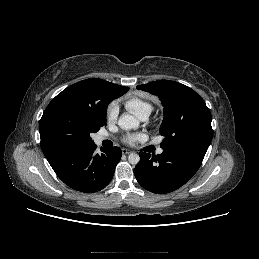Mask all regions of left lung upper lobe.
<instances>
[{"label":"left lung upper lobe","mask_w":259,"mask_h":259,"mask_svg":"<svg viewBox=\"0 0 259 259\" xmlns=\"http://www.w3.org/2000/svg\"><path fill=\"white\" fill-rule=\"evenodd\" d=\"M157 95L164 107L160 134L163 150L206 153L213 136L211 113L204 100L191 88L174 81L159 80L137 86Z\"/></svg>","instance_id":"1"}]
</instances>
